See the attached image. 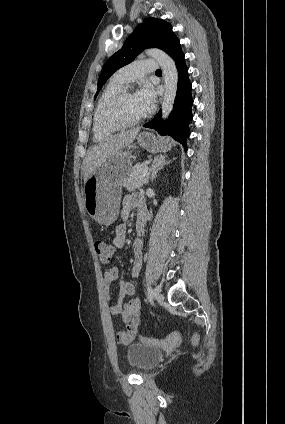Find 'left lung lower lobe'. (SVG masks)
Wrapping results in <instances>:
<instances>
[{
	"mask_svg": "<svg viewBox=\"0 0 285 424\" xmlns=\"http://www.w3.org/2000/svg\"><path fill=\"white\" fill-rule=\"evenodd\" d=\"M167 54L174 60L178 71L177 95L174 101V108L166 122L162 120L161 111H159L154 119L146 123L144 127L155 129L161 135L171 136L187 150L186 139L190 135L189 122L193 117L191 111L193 104L192 84L188 78V68L178 39Z\"/></svg>",
	"mask_w": 285,
	"mask_h": 424,
	"instance_id": "0a47b994",
	"label": "left lung lower lobe"
}]
</instances>
